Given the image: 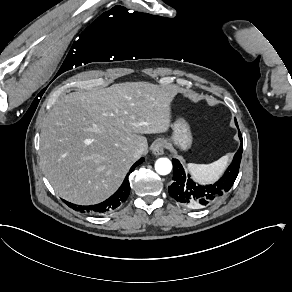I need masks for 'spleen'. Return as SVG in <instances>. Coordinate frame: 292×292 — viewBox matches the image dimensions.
I'll list each match as a JSON object with an SVG mask.
<instances>
[{
    "mask_svg": "<svg viewBox=\"0 0 292 292\" xmlns=\"http://www.w3.org/2000/svg\"><path fill=\"white\" fill-rule=\"evenodd\" d=\"M228 160V156H223L211 163H189V168L195 177L200 182H208L216 179L223 171Z\"/></svg>",
    "mask_w": 292,
    "mask_h": 292,
    "instance_id": "1",
    "label": "spleen"
}]
</instances>
